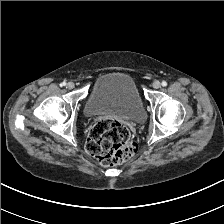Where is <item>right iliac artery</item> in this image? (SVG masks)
Returning <instances> with one entry per match:
<instances>
[{
	"label": "right iliac artery",
	"instance_id": "obj_1",
	"mask_svg": "<svg viewBox=\"0 0 224 224\" xmlns=\"http://www.w3.org/2000/svg\"><path fill=\"white\" fill-rule=\"evenodd\" d=\"M65 85H66L65 82H62V83L60 84L61 87L65 86Z\"/></svg>",
	"mask_w": 224,
	"mask_h": 224
}]
</instances>
